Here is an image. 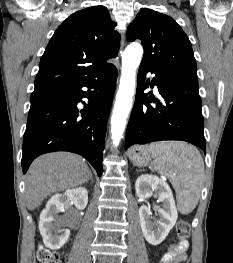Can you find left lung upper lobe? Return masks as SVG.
Wrapping results in <instances>:
<instances>
[{
  "instance_id": "5c2ea615",
  "label": "left lung upper lobe",
  "mask_w": 233,
  "mask_h": 263,
  "mask_svg": "<svg viewBox=\"0 0 233 263\" xmlns=\"http://www.w3.org/2000/svg\"><path fill=\"white\" fill-rule=\"evenodd\" d=\"M127 38L142 41L144 57L141 64L163 73L197 79L191 43L171 17L142 9L129 25Z\"/></svg>"
}]
</instances>
